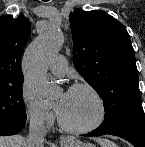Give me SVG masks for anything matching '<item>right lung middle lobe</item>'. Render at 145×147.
Masks as SVG:
<instances>
[{
    "mask_svg": "<svg viewBox=\"0 0 145 147\" xmlns=\"http://www.w3.org/2000/svg\"><path fill=\"white\" fill-rule=\"evenodd\" d=\"M22 85L23 78L0 84V127L15 126L26 121Z\"/></svg>",
    "mask_w": 145,
    "mask_h": 147,
    "instance_id": "dd1d6c3e",
    "label": "right lung middle lobe"
}]
</instances>
